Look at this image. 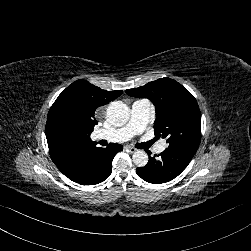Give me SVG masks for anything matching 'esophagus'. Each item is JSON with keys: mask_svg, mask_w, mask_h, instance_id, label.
<instances>
[{"mask_svg": "<svg viewBox=\"0 0 251 251\" xmlns=\"http://www.w3.org/2000/svg\"><path fill=\"white\" fill-rule=\"evenodd\" d=\"M126 149L129 150L130 153L136 152V149L134 147H131V146H126Z\"/></svg>", "mask_w": 251, "mask_h": 251, "instance_id": "1", "label": "esophagus"}]
</instances>
